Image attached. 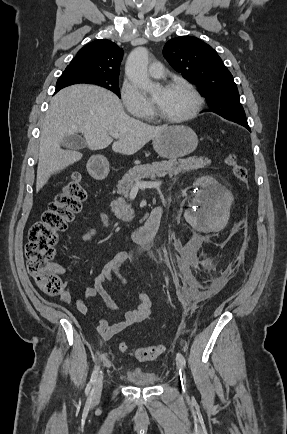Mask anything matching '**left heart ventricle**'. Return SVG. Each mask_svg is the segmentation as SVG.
I'll list each match as a JSON object with an SVG mask.
<instances>
[{"label":"left heart ventricle","instance_id":"left-heart-ventricle-1","mask_svg":"<svg viewBox=\"0 0 287 434\" xmlns=\"http://www.w3.org/2000/svg\"><path fill=\"white\" fill-rule=\"evenodd\" d=\"M153 101L162 114L173 118L187 114L193 106L191 94L181 87L160 88L155 92Z\"/></svg>","mask_w":287,"mask_h":434}]
</instances>
